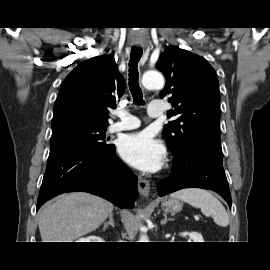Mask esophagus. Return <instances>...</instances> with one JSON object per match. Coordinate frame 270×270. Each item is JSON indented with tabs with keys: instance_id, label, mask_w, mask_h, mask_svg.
<instances>
[{
	"instance_id": "34e87169",
	"label": "esophagus",
	"mask_w": 270,
	"mask_h": 270,
	"mask_svg": "<svg viewBox=\"0 0 270 270\" xmlns=\"http://www.w3.org/2000/svg\"><path fill=\"white\" fill-rule=\"evenodd\" d=\"M150 190V184L147 180L142 178L141 176L138 177V191L142 197H147Z\"/></svg>"
}]
</instances>
